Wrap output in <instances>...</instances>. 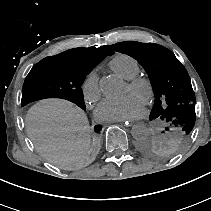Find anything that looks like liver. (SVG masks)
Here are the masks:
<instances>
[{
    "instance_id": "1",
    "label": "liver",
    "mask_w": 211,
    "mask_h": 211,
    "mask_svg": "<svg viewBox=\"0 0 211 211\" xmlns=\"http://www.w3.org/2000/svg\"><path fill=\"white\" fill-rule=\"evenodd\" d=\"M26 127L36 148L51 161L75 163L90 143V127L84 112L70 102L49 99L27 113Z\"/></svg>"
}]
</instances>
